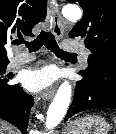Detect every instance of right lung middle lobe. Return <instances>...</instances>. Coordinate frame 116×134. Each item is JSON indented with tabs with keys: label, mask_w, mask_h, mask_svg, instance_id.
I'll return each mask as SVG.
<instances>
[{
	"label": "right lung middle lobe",
	"mask_w": 116,
	"mask_h": 134,
	"mask_svg": "<svg viewBox=\"0 0 116 134\" xmlns=\"http://www.w3.org/2000/svg\"><path fill=\"white\" fill-rule=\"evenodd\" d=\"M9 62H0V97L8 95L13 92L16 85L15 84H9V75L5 74L6 67Z\"/></svg>",
	"instance_id": "obj_1"
}]
</instances>
